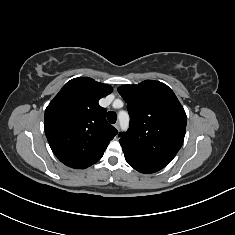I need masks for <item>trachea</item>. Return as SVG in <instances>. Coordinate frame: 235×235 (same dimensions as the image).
Wrapping results in <instances>:
<instances>
[{"instance_id": "trachea-1", "label": "trachea", "mask_w": 235, "mask_h": 235, "mask_svg": "<svg viewBox=\"0 0 235 235\" xmlns=\"http://www.w3.org/2000/svg\"><path fill=\"white\" fill-rule=\"evenodd\" d=\"M107 119L108 121L111 123V124H114L117 120V116H116V113L113 112V111H109L107 113Z\"/></svg>"}]
</instances>
